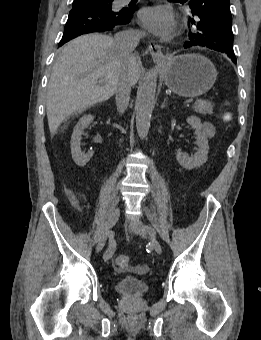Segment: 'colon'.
Returning <instances> with one entry per match:
<instances>
[{
	"instance_id": "5ec220e1",
	"label": "colon",
	"mask_w": 261,
	"mask_h": 340,
	"mask_svg": "<svg viewBox=\"0 0 261 340\" xmlns=\"http://www.w3.org/2000/svg\"><path fill=\"white\" fill-rule=\"evenodd\" d=\"M230 114H225L224 118L226 120L230 119ZM129 265V258L126 255H119L114 261V268L119 271L125 270Z\"/></svg>"
}]
</instances>
